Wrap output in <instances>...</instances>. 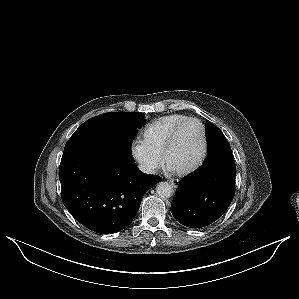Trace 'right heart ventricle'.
Listing matches in <instances>:
<instances>
[{"instance_id": "obj_1", "label": "right heart ventricle", "mask_w": 299, "mask_h": 299, "mask_svg": "<svg viewBox=\"0 0 299 299\" xmlns=\"http://www.w3.org/2000/svg\"><path fill=\"white\" fill-rule=\"evenodd\" d=\"M190 119L184 114H170L154 121L144 132V144L156 156H161L171 133Z\"/></svg>"}]
</instances>
